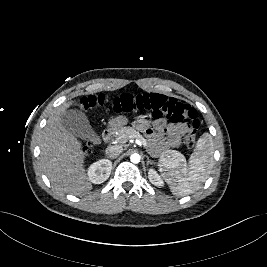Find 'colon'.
<instances>
[{"label":"colon","mask_w":267,"mask_h":267,"mask_svg":"<svg viewBox=\"0 0 267 267\" xmlns=\"http://www.w3.org/2000/svg\"><path fill=\"white\" fill-rule=\"evenodd\" d=\"M84 108L106 107L115 113L146 112V115L155 119L166 117L174 123H187L188 128L184 143L188 148H193L196 133L200 125L197 111L189 104L178 101L159 93H145L141 95L123 94L107 102L103 96H88L80 101ZM91 146L87 142L83 150Z\"/></svg>","instance_id":"obj_1"}]
</instances>
